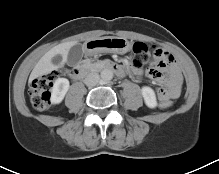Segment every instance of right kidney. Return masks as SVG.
<instances>
[{"mask_svg": "<svg viewBox=\"0 0 219 174\" xmlns=\"http://www.w3.org/2000/svg\"><path fill=\"white\" fill-rule=\"evenodd\" d=\"M69 90V80L66 78H58L55 80L51 89L50 101L52 104H59L64 99Z\"/></svg>", "mask_w": 219, "mask_h": 174, "instance_id": "1", "label": "right kidney"}]
</instances>
